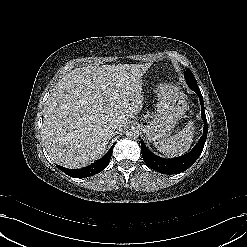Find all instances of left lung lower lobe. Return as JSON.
Wrapping results in <instances>:
<instances>
[{"mask_svg":"<svg viewBox=\"0 0 247 247\" xmlns=\"http://www.w3.org/2000/svg\"><path fill=\"white\" fill-rule=\"evenodd\" d=\"M188 86L198 95L201 103V117L204 121V129H203V135L198 141V144L188 154L184 156H180L172 159H165L153 154L145 146L144 142H141V153L144 162L151 169L156 170L157 172L162 174H178L180 172L187 170L192 164L195 163V161L200 156L207 138L208 126H207V119L204 111L203 96L197 85L188 84Z\"/></svg>","mask_w":247,"mask_h":247,"instance_id":"left-lung-lower-lobe-1","label":"left lung lower lobe"}]
</instances>
